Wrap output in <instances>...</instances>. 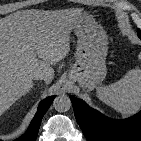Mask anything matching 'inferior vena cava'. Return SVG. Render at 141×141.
Masks as SVG:
<instances>
[{
    "label": "inferior vena cava",
    "mask_w": 141,
    "mask_h": 141,
    "mask_svg": "<svg viewBox=\"0 0 141 141\" xmlns=\"http://www.w3.org/2000/svg\"><path fill=\"white\" fill-rule=\"evenodd\" d=\"M34 80H44L46 83H49L51 81V78L42 71H37L33 74Z\"/></svg>",
    "instance_id": "602c4592"
}]
</instances>
